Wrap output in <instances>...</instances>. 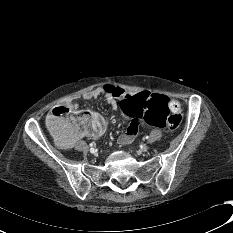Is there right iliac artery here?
I'll return each instance as SVG.
<instances>
[{
	"label": "right iliac artery",
	"mask_w": 233,
	"mask_h": 233,
	"mask_svg": "<svg viewBox=\"0 0 233 233\" xmlns=\"http://www.w3.org/2000/svg\"><path fill=\"white\" fill-rule=\"evenodd\" d=\"M90 146L93 147V146H94V143H90ZM91 149H94V148H91Z\"/></svg>",
	"instance_id": "1"
}]
</instances>
